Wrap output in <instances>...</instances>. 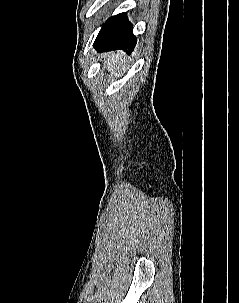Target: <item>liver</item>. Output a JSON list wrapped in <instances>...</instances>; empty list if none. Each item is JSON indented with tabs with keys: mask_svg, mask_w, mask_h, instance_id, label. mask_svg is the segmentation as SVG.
<instances>
[{
	"mask_svg": "<svg viewBox=\"0 0 239 303\" xmlns=\"http://www.w3.org/2000/svg\"><path fill=\"white\" fill-rule=\"evenodd\" d=\"M103 57L106 59L105 65L109 72L114 73L115 69L123 67L125 54L122 51L104 54Z\"/></svg>",
	"mask_w": 239,
	"mask_h": 303,
	"instance_id": "1",
	"label": "liver"
}]
</instances>
